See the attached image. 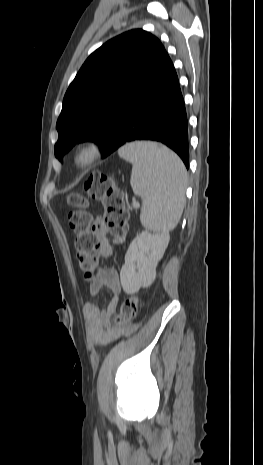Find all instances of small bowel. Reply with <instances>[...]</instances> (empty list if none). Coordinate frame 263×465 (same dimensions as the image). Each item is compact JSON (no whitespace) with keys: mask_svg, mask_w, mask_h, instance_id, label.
<instances>
[{"mask_svg":"<svg viewBox=\"0 0 263 465\" xmlns=\"http://www.w3.org/2000/svg\"><path fill=\"white\" fill-rule=\"evenodd\" d=\"M94 232L98 238V251L104 257H110L113 249L108 239V228L103 224L101 218L96 219L94 223ZM102 288H108L112 291L113 296L108 302L105 309H101L93 300L88 301L83 309L84 317L90 324V331L98 345L105 346L110 342L118 339L125 333L123 329L107 328L110 316L116 311L119 303V294L121 284L118 272L113 268L100 267L93 281L90 283V296L96 297ZM143 326L142 322H134L129 329V334H136V331Z\"/></svg>","mask_w":263,"mask_h":465,"instance_id":"c3829d8e","label":"small bowel"}]
</instances>
